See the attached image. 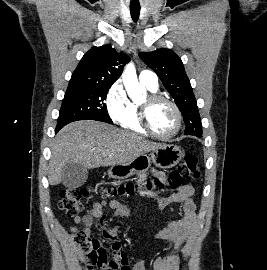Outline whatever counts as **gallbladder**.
I'll return each mask as SVG.
<instances>
[{"label": "gallbladder", "instance_id": "gallbladder-1", "mask_svg": "<svg viewBox=\"0 0 267 270\" xmlns=\"http://www.w3.org/2000/svg\"><path fill=\"white\" fill-rule=\"evenodd\" d=\"M88 179V170L80 164L68 163L62 170V184L70 189L81 187Z\"/></svg>", "mask_w": 267, "mask_h": 270}]
</instances>
